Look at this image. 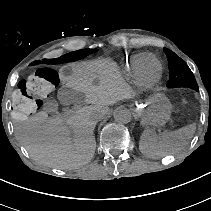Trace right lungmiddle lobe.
I'll return each mask as SVG.
<instances>
[{
  "instance_id": "obj_1",
  "label": "right lung middle lobe",
  "mask_w": 211,
  "mask_h": 211,
  "mask_svg": "<svg viewBox=\"0 0 211 211\" xmlns=\"http://www.w3.org/2000/svg\"><path fill=\"white\" fill-rule=\"evenodd\" d=\"M96 51L97 50H94V49H81L78 51L70 52L59 58L54 59V63L60 64V63L73 62V61L82 59Z\"/></svg>"
}]
</instances>
